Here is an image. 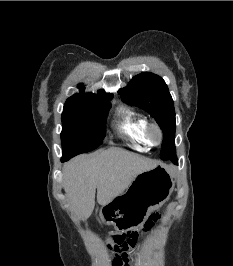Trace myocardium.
Wrapping results in <instances>:
<instances>
[{
	"label": "myocardium",
	"mask_w": 233,
	"mask_h": 266,
	"mask_svg": "<svg viewBox=\"0 0 233 266\" xmlns=\"http://www.w3.org/2000/svg\"><path fill=\"white\" fill-rule=\"evenodd\" d=\"M145 135L150 145H159L163 140V131L157 123H148Z\"/></svg>",
	"instance_id": "myocardium-1"
}]
</instances>
